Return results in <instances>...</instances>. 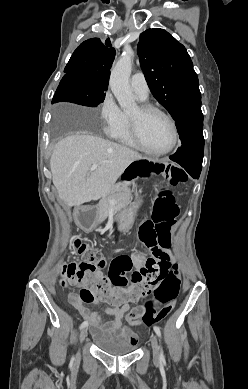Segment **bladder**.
Listing matches in <instances>:
<instances>
[{
  "instance_id": "1",
  "label": "bladder",
  "mask_w": 248,
  "mask_h": 389,
  "mask_svg": "<svg viewBox=\"0 0 248 389\" xmlns=\"http://www.w3.org/2000/svg\"><path fill=\"white\" fill-rule=\"evenodd\" d=\"M92 341L98 349L113 356L128 355L136 350V344L126 335H110L105 332H95L93 333Z\"/></svg>"
}]
</instances>
